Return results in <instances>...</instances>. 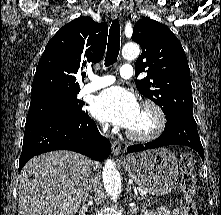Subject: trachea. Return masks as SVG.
Wrapping results in <instances>:
<instances>
[{
  "instance_id": "trachea-1",
  "label": "trachea",
  "mask_w": 221,
  "mask_h": 215,
  "mask_svg": "<svg viewBox=\"0 0 221 215\" xmlns=\"http://www.w3.org/2000/svg\"><path fill=\"white\" fill-rule=\"evenodd\" d=\"M120 49V24L118 19H114L108 36L107 54L105 66L108 67L116 62Z\"/></svg>"
}]
</instances>
